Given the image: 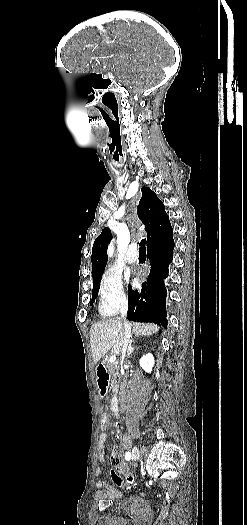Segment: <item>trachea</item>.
<instances>
[{
	"mask_svg": "<svg viewBox=\"0 0 247 525\" xmlns=\"http://www.w3.org/2000/svg\"><path fill=\"white\" fill-rule=\"evenodd\" d=\"M145 244H146V239L143 238V240H141V242L139 244L140 245V248H139V252L140 253L146 252Z\"/></svg>",
	"mask_w": 247,
	"mask_h": 525,
	"instance_id": "1",
	"label": "trachea"
}]
</instances>
